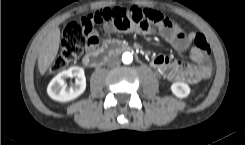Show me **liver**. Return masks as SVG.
Segmentation results:
<instances>
[{
	"instance_id": "6515ba94",
	"label": "liver",
	"mask_w": 245,
	"mask_h": 145,
	"mask_svg": "<svg viewBox=\"0 0 245 145\" xmlns=\"http://www.w3.org/2000/svg\"><path fill=\"white\" fill-rule=\"evenodd\" d=\"M60 29L55 27L44 38L39 56L38 68L41 75H44L49 66L53 63L59 50Z\"/></svg>"
}]
</instances>
